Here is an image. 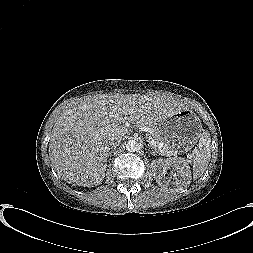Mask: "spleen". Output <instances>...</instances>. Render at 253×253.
<instances>
[{
    "mask_svg": "<svg viewBox=\"0 0 253 253\" xmlns=\"http://www.w3.org/2000/svg\"><path fill=\"white\" fill-rule=\"evenodd\" d=\"M199 151L193 161V176L198 178L207 169L211 158V138L207 132H204L199 140Z\"/></svg>",
    "mask_w": 253,
    "mask_h": 253,
    "instance_id": "1",
    "label": "spleen"
}]
</instances>
